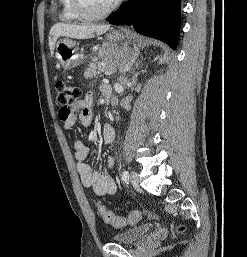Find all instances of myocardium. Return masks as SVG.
<instances>
[{"instance_id":"f54148a6","label":"myocardium","mask_w":247,"mask_h":257,"mask_svg":"<svg viewBox=\"0 0 247 257\" xmlns=\"http://www.w3.org/2000/svg\"><path fill=\"white\" fill-rule=\"evenodd\" d=\"M122 0L113 1L106 9L100 12H91L85 3V0H73V7L81 20L94 21L104 18L114 12Z\"/></svg>"}]
</instances>
